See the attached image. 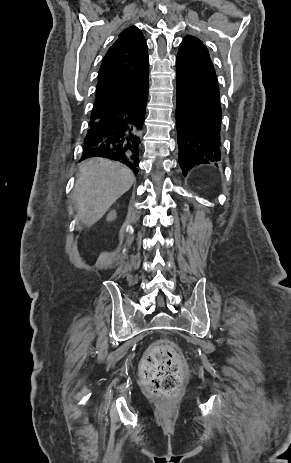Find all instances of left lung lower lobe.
Listing matches in <instances>:
<instances>
[{"label":"left lung lower lobe","mask_w":291,"mask_h":463,"mask_svg":"<svg viewBox=\"0 0 291 463\" xmlns=\"http://www.w3.org/2000/svg\"><path fill=\"white\" fill-rule=\"evenodd\" d=\"M218 85L176 70V127L184 176L199 164L222 162Z\"/></svg>","instance_id":"obj_1"}]
</instances>
